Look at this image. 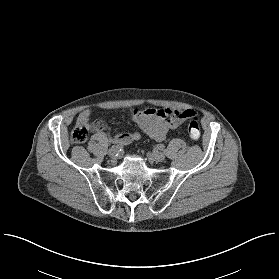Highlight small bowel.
<instances>
[{
    "label": "small bowel",
    "instance_id": "c3829d8e",
    "mask_svg": "<svg viewBox=\"0 0 279 279\" xmlns=\"http://www.w3.org/2000/svg\"><path fill=\"white\" fill-rule=\"evenodd\" d=\"M90 115L89 109L83 110L78 115L76 124L87 126L94 131L104 130L105 125L102 121L89 122ZM132 116L146 135L157 141H162L170 130L179 127L184 121L194 118L196 113L188 109L157 108L146 111L135 110L132 112ZM140 138L139 132L119 133L112 137V142L125 146L138 141Z\"/></svg>",
    "mask_w": 279,
    "mask_h": 279
}]
</instances>
